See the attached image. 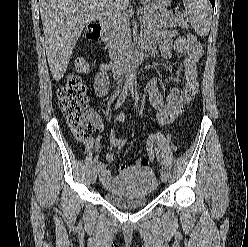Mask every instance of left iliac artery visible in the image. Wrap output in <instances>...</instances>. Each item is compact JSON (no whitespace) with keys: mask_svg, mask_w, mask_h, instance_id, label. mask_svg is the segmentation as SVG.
Returning <instances> with one entry per match:
<instances>
[{"mask_svg":"<svg viewBox=\"0 0 248 247\" xmlns=\"http://www.w3.org/2000/svg\"><path fill=\"white\" fill-rule=\"evenodd\" d=\"M132 93H133V92H132ZM132 96H133V95H132ZM155 150H156V148H155ZM156 155H157V160H158L159 164L162 165V164H163V161H162L161 156L159 155L158 150H157V152H156Z\"/></svg>","mask_w":248,"mask_h":247,"instance_id":"obj_1","label":"left iliac artery"}]
</instances>
